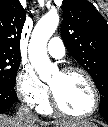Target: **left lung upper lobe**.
Segmentation results:
<instances>
[{
  "label": "left lung upper lobe",
  "instance_id": "left-lung-upper-lobe-1",
  "mask_svg": "<svg viewBox=\"0 0 108 127\" xmlns=\"http://www.w3.org/2000/svg\"><path fill=\"white\" fill-rule=\"evenodd\" d=\"M68 52L92 76L100 94L99 112L108 113V24L87 0H64L61 26Z\"/></svg>",
  "mask_w": 108,
  "mask_h": 127
}]
</instances>
